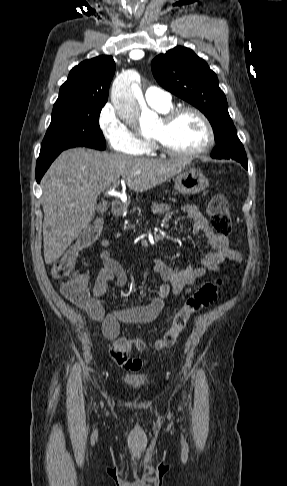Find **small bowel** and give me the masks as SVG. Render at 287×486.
Segmentation results:
<instances>
[{
	"instance_id": "1",
	"label": "small bowel",
	"mask_w": 287,
	"mask_h": 486,
	"mask_svg": "<svg viewBox=\"0 0 287 486\" xmlns=\"http://www.w3.org/2000/svg\"><path fill=\"white\" fill-rule=\"evenodd\" d=\"M168 211L169 206L166 204L158 203L153 206V212L157 215H163ZM183 212L193 222V233L202 235L210 250L198 263L182 268H175L159 258H154L152 260L153 270L159 278L160 285L157 295L148 304L116 309L106 313L101 297L106 293L108 284L112 281H115L120 287L125 286L127 273L122 265L112 257L110 241L101 240L100 258L103 266L94 279L85 310L92 320L101 324L103 335L108 340L118 337L122 324H147L154 321L163 310L164 301L169 295H179L186 286L193 285L206 273L220 271L224 261L240 263L239 252L230 247L225 236L218 235L211 229L207 219L197 206L185 205Z\"/></svg>"
}]
</instances>
